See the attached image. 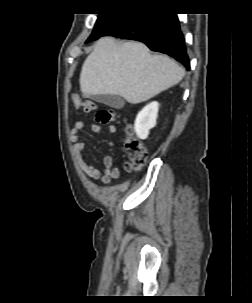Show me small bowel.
Segmentation results:
<instances>
[{"instance_id":"obj_1","label":"small bowel","mask_w":252,"mask_h":303,"mask_svg":"<svg viewBox=\"0 0 252 303\" xmlns=\"http://www.w3.org/2000/svg\"><path fill=\"white\" fill-rule=\"evenodd\" d=\"M84 126V120H78L75 122V125L70 132V138L73 141V151L75 159L79 167L89 178L107 184L112 179H116L119 176L120 171L118 168L113 167L112 156L107 155L103 158V168L101 171L85 159L84 150L86 144L84 141L80 140V131L84 128ZM91 130L93 132L105 131L108 133H115L117 129L115 125H108L102 127L100 125L93 124L91 126Z\"/></svg>"}]
</instances>
